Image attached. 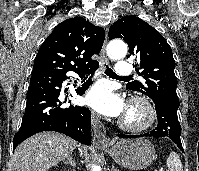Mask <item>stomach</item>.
Listing matches in <instances>:
<instances>
[{
    "instance_id": "0dacf381",
    "label": "stomach",
    "mask_w": 199,
    "mask_h": 171,
    "mask_svg": "<svg viewBox=\"0 0 199 171\" xmlns=\"http://www.w3.org/2000/svg\"><path fill=\"white\" fill-rule=\"evenodd\" d=\"M120 166L130 170L147 168L155 159L152 143L144 138L122 139L110 146L103 147Z\"/></svg>"
}]
</instances>
